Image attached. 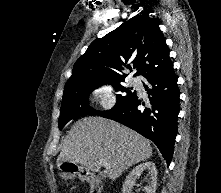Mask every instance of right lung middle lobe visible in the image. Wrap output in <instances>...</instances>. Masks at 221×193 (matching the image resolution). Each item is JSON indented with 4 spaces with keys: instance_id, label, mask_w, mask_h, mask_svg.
<instances>
[{
    "instance_id": "1",
    "label": "right lung middle lobe",
    "mask_w": 221,
    "mask_h": 193,
    "mask_svg": "<svg viewBox=\"0 0 221 193\" xmlns=\"http://www.w3.org/2000/svg\"><path fill=\"white\" fill-rule=\"evenodd\" d=\"M124 82V81H122ZM110 83L113 85L116 91L125 92L126 94H118L117 102L113 109L120 107L124 103L131 100L136 91H132L133 88H125L121 83ZM101 85L84 86V87H72L66 88L63 92L62 105L60 109L59 117V129L61 130L71 119L81 115H97L101 113L89 106L88 97L91 92Z\"/></svg>"
}]
</instances>
